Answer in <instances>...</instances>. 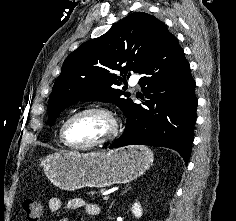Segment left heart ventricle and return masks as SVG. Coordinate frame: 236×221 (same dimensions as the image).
<instances>
[{
  "label": "left heart ventricle",
  "mask_w": 236,
  "mask_h": 221,
  "mask_svg": "<svg viewBox=\"0 0 236 221\" xmlns=\"http://www.w3.org/2000/svg\"><path fill=\"white\" fill-rule=\"evenodd\" d=\"M111 131V122L101 113H87L72 120L66 135L72 144L86 145L105 138Z\"/></svg>",
  "instance_id": "left-heart-ventricle-1"
}]
</instances>
